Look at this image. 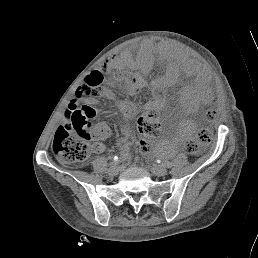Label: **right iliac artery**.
Instances as JSON below:
<instances>
[{
	"label": "right iliac artery",
	"instance_id": "1",
	"mask_svg": "<svg viewBox=\"0 0 258 258\" xmlns=\"http://www.w3.org/2000/svg\"><path fill=\"white\" fill-rule=\"evenodd\" d=\"M113 160H114V161H117V160H118V157H117V156H115V157L113 158Z\"/></svg>",
	"mask_w": 258,
	"mask_h": 258
}]
</instances>
